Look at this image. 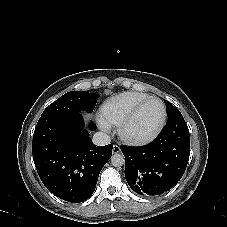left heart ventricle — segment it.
I'll return each instance as SVG.
<instances>
[{
    "mask_svg": "<svg viewBox=\"0 0 227 227\" xmlns=\"http://www.w3.org/2000/svg\"><path fill=\"white\" fill-rule=\"evenodd\" d=\"M162 106L157 101L149 102L129 129L134 136H143L152 131L162 118Z\"/></svg>",
    "mask_w": 227,
    "mask_h": 227,
    "instance_id": "left-heart-ventricle-1",
    "label": "left heart ventricle"
}]
</instances>
